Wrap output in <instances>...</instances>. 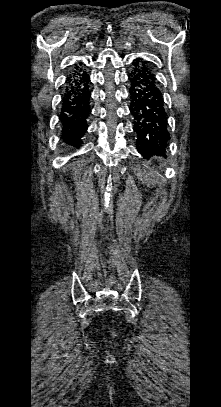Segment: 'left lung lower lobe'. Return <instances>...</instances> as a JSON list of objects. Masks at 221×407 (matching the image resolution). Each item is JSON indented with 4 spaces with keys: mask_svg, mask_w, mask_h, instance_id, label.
<instances>
[{
    "mask_svg": "<svg viewBox=\"0 0 221 407\" xmlns=\"http://www.w3.org/2000/svg\"><path fill=\"white\" fill-rule=\"evenodd\" d=\"M129 75L130 111L134 116L137 150L144 157L165 151L170 139L163 94L154 72L138 58Z\"/></svg>",
    "mask_w": 221,
    "mask_h": 407,
    "instance_id": "obj_1",
    "label": "left lung lower lobe"
}]
</instances>
